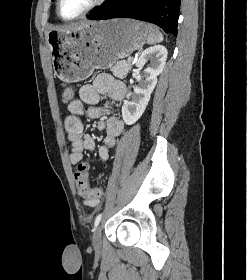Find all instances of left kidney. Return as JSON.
<instances>
[{"label":"left kidney","instance_id":"obj_1","mask_svg":"<svg viewBox=\"0 0 247 280\" xmlns=\"http://www.w3.org/2000/svg\"><path fill=\"white\" fill-rule=\"evenodd\" d=\"M167 59V49L163 45L149 47L142 52L136 62L137 70L144 69V76L138 80L133 93L127 95L122 106V117L127 125L134 124L144 113L156 84L157 77L162 73Z\"/></svg>","mask_w":247,"mask_h":280}]
</instances>
